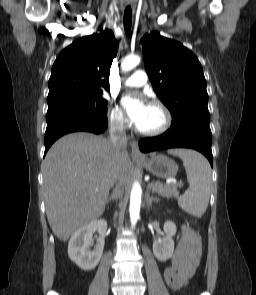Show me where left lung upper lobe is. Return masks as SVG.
I'll list each match as a JSON object with an SVG mask.
<instances>
[{
    "mask_svg": "<svg viewBox=\"0 0 256 295\" xmlns=\"http://www.w3.org/2000/svg\"><path fill=\"white\" fill-rule=\"evenodd\" d=\"M141 44L154 91L172 115L171 126L188 120L209 124L206 80L197 57L157 32L146 34Z\"/></svg>",
    "mask_w": 256,
    "mask_h": 295,
    "instance_id": "obj_1",
    "label": "left lung upper lobe"
}]
</instances>
